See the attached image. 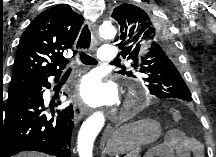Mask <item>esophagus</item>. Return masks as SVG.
I'll return each instance as SVG.
<instances>
[{"label":"esophagus","mask_w":216,"mask_h":157,"mask_svg":"<svg viewBox=\"0 0 216 157\" xmlns=\"http://www.w3.org/2000/svg\"><path fill=\"white\" fill-rule=\"evenodd\" d=\"M85 27H88L90 31V41L86 42L84 45L81 44V34ZM98 37L97 31L95 30L94 26L89 23L85 22L81 28V31L78 35L77 42H76V50L79 52L83 49L89 50L92 48V42ZM73 108H74V117L75 120H80L87 112V106L81 100L78 90H75L73 95Z\"/></svg>","instance_id":"1"}]
</instances>
